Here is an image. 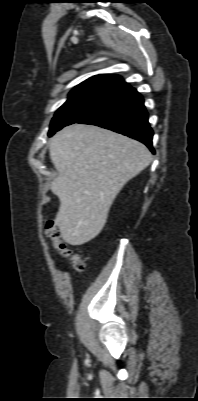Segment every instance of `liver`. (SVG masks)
Returning a JSON list of instances; mask_svg holds the SVG:
<instances>
[{"label":"liver","mask_w":198,"mask_h":401,"mask_svg":"<svg viewBox=\"0 0 198 401\" xmlns=\"http://www.w3.org/2000/svg\"><path fill=\"white\" fill-rule=\"evenodd\" d=\"M49 153L58 172L51 185L60 200L55 224L63 240L74 246L101 232L117 194L152 160L139 141L84 124L57 132Z\"/></svg>","instance_id":"obj_1"}]
</instances>
